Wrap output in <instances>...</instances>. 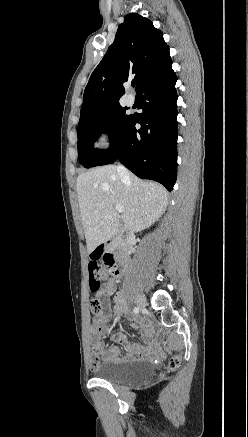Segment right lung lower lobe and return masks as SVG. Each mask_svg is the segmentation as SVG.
<instances>
[{
  "label": "right lung lower lobe",
  "mask_w": 248,
  "mask_h": 437,
  "mask_svg": "<svg viewBox=\"0 0 248 437\" xmlns=\"http://www.w3.org/2000/svg\"><path fill=\"white\" fill-rule=\"evenodd\" d=\"M169 58L138 89L143 113L133 114L117 143L94 166L117 159L142 179L173 189L177 173L176 75ZM141 128L137 130L135 124Z\"/></svg>",
  "instance_id": "1"
}]
</instances>
